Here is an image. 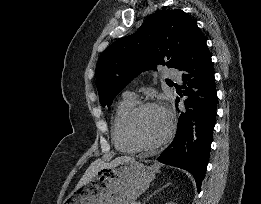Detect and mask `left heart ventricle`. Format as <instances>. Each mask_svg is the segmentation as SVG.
<instances>
[{"label":"left heart ventricle","mask_w":261,"mask_h":204,"mask_svg":"<svg viewBox=\"0 0 261 204\" xmlns=\"http://www.w3.org/2000/svg\"><path fill=\"white\" fill-rule=\"evenodd\" d=\"M166 115L158 108L143 111L136 120L135 132L145 143H154L161 139L167 131Z\"/></svg>","instance_id":"left-heart-ventricle-1"}]
</instances>
